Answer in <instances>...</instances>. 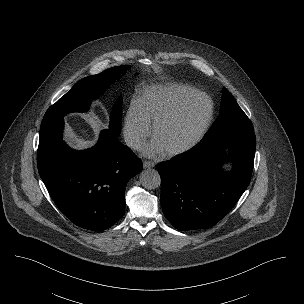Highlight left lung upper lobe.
I'll list each match as a JSON object with an SVG mask.
<instances>
[{"mask_svg": "<svg viewBox=\"0 0 304 304\" xmlns=\"http://www.w3.org/2000/svg\"><path fill=\"white\" fill-rule=\"evenodd\" d=\"M231 132H254L250 119L227 89H223L220 115L203 141Z\"/></svg>", "mask_w": 304, "mask_h": 304, "instance_id": "obj_1", "label": "left lung upper lobe"}]
</instances>
